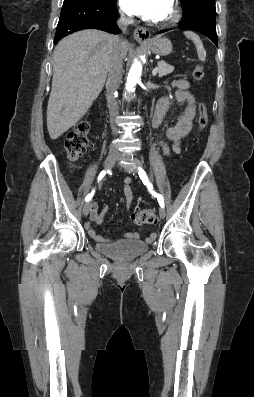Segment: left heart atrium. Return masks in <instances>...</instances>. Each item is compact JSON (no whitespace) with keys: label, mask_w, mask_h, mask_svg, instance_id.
<instances>
[{"label":"left heart atrium","mask_w":254,"mask_h":397,"mask_svg":"<svg viewBox=\"0 0 254 397\" xmlns=\"http://www.w3.org/2000/svg\"><path fill=\"white\" fill-rule=\"evenodd\" d=\"M122 8L130 15L156 20L171 6V0H121Z\"/></svg>","instance_id":"39dd6f15"}]
</instances>
